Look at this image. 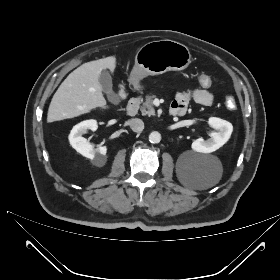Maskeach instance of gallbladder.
<instances>
[{"mask_svg":"<svg viewBox=\"0 0 280 280\" xmlns=\"http://www.w3.org/2000/svg\"><path fill=\"white\" fill-rule=\"evenodd\" d=\"M99 81L102 87V91L106 94L108 101L113 104H119L120 98L112 89V78L107 70H103L101 72Z\"/></svg>","mask_w":280,"mask_h":280,"instance_id":"1","label":"gallbladder"}]
</instances>
